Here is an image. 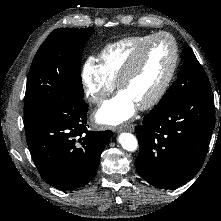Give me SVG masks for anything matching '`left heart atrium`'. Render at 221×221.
<instances>
[{
	"label": "left heart atrium",
	"instance_id": "left-heart-atrium-1",
	"mask_svg": "<svg viewBox=\"0 0 221 221\" xmlns=\"http://www.w3.org/2000/svg\"><path fill=\"white\" fill-rule=\"evenodd\" d=\"M137 105L125 93L120 92L97 111L96 119L101 124L118 125L129 120Z\"/></svg>",
	"mask_w": 221,
	"mask_h": 221
}]
</instances>
